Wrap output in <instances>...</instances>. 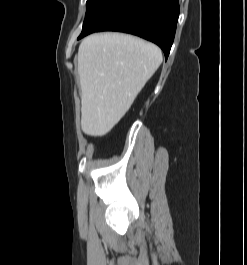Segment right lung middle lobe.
Masks as SVG:
<instances>
[{
  "instance_id": "obj_1",
  "label": "right lung middle lobe",
  "mask_w": 247,
  "mask_h": 265,
  "mask_svg": "<svg viewBox=\"0 0 247 265\" xmlns=\"http://www.w3.org/2000/svg\"><path fill=\"white\" fill-rule=\"evenodd\" d=\"M99 1L100 0H87L86 16L93 10V8L98 4Z\"/></svg>"
}]
</instances>
